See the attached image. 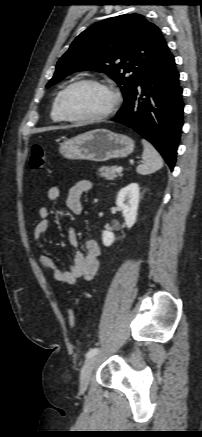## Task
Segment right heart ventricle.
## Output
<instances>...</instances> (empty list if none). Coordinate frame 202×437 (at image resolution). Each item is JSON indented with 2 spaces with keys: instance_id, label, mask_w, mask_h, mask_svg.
<instances>
[{
  "instance_id": "e07e8e85",
  "label": "right heart ventricle",
  "mask_w": 202,
  "mask_h": 437,
  "mask_svg": "<svg viewBox=\"0 0 202 437\" xmlns=\"http://www.w3.org/2000/svg\"><path fill=\"white\" fill-rule=\"evenodd\" d=\"M60 93H61V91H58L56 93V95L53 98L52 105H51L50 115H51L52 120L55 122L65 121V119L61 116L59 109H58V98H59Z\"/></svg>"
}]
</instances>
